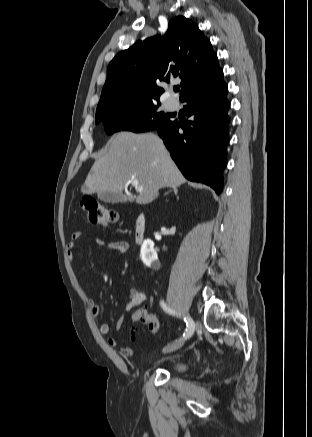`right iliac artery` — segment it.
I'll use <instances>...</instances> for the list:
<instances>
[{"instance_id":"82829eb1","label":"right iliac artery","mask_w":312,"mask_h":437,"mask_svg":"<svg viewBox=\"0 0 312 437\" xmlns=\"http://www.w3.org/2000/svg\"><path fill=\"white\" fill-rule=\"evenodd\" d=\"M160 304H161V307L163 308V310L166 311L167 313L172 314V315L177 314V313H175L174 310L167 307L166 304L164 303V301H161ZM184 321L186 322L187 328H186V332L183 334V338L187 339L193 334L194 322L190 316H185Z\"/></svg>"}]
</instances>
